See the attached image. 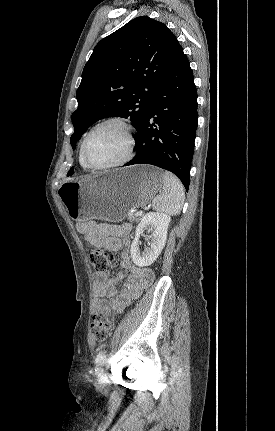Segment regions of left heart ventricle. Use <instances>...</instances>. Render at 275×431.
I'll use <instances>...</instances> for the list:
<instances>
[{
    "mask_svg": "<svg viewBox=\"0 0 275 431\" xmlns=\"http://www.w3.org/2000/svg\"><path fill=\"white\" fill-rule=\"evenodd\" d=\"M128 148L126 132L117 124L99 128L86 145L88 161L94 165L116 162L124 157Z\"/></svg>",
    "mask_w": 275,
    "mask_h": 431,
    "instance_id": "1",
    "label": "left heart ventricle"
}]
</instances>
